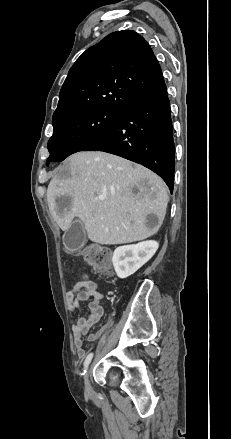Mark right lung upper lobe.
I'll return each mask as SVG.
<instances>
[{
    "label": "right lung upper lobe",
    "mask_w": 231,
    "mask_h": 439,
    "mask_svg": "<svg viewBox=\"0 0 231 439\" xmlns=\"http://www.w3.org/2000/svg\"><path fill=\"white\" fill-rule=\"evenodd\" d=\"M165 87L146 40L132 30L113 32L71 67L53 119L95 108L123 113L133 102Z\"/></svg>",
    "instance_id": "cb5924a9"
}]
</instances>
